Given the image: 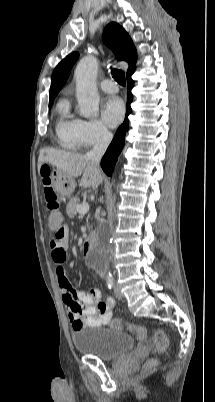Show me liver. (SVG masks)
I'll list each match as a JSON object with an SVG mask.
<instances>
[{
	"label": "liver",
	"mask_w": 215,
	"mask_h": 402,
	"mask_svg": "<svg viewBox=\"0 0 215 402\" xmlns=\"http://www.w3.org/2000/svg\"><path fill=\"white\" fill-rule=\"evenodd\" d=\"M44 163H49L71 177L82 175L79 186L96 189L102 182L100 169L95 167L86 156L60 151L53 148L40 151L38 170Z\"/></svg>",
	"instance_id": "liver-1"
}]
</instances>
